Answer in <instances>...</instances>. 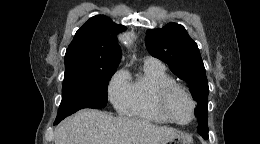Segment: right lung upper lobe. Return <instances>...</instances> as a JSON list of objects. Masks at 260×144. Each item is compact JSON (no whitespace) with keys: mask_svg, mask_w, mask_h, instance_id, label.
Masks as SVG:
<instances>
[{"mask_svg":"<svg viewBox=\"0 0 260 144\" xmlns=\"http://www.w3.org/2000/svg\"><path fill=\"white\" fill-rule=\"evenodd\" d=\"M125 30L105 15L90 18L66 51L65 73L117 69L122 52L116 36Z\"/></svg>","mask_w":260,"mask_h":144,"instance_id":"right-lung-upper-lobe-1","label":"right lung upper lobe"}]
</instances>
